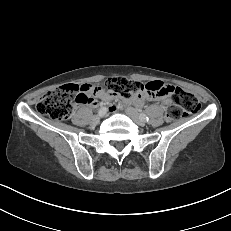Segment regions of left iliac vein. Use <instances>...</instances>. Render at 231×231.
Here are the masks:
<instances>
[{"label": "left iliac vein", "instance_id": "obj_1", "mask_svg": "<svg viewBox=\"0 0 231 231\" xmlns=\"http://www.w3.org/2000/svg\"><path fill=\"white\" fill-rule=\"evenodd\" d=\"M126 114L132 118L136 123H138L140 126L145 125V119L142 118L141 114L138 113V111L132 107L126 108Z\"/></svg>", "mask_w": 231, "mask_h": 231}]
</instances>
